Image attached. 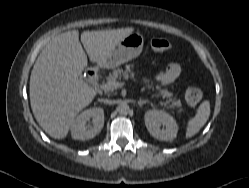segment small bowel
Returning <instances> with one entry per match:
<instances>
[{
  "mask_svg": "<svg viewBox=\"0 0 249 188\" xmlns=\"http://www.w3.org/2000/svg\"><path fill=\"white\" fill-rule=\"evenodd\" d=\"M181 73V66L178 63L168 64L156 77L157 81L162 85H168L174 82ZM146 86L150 85L148 79L144 80Z\"/></svg>",
  "mask_w": 249,
  "mask_h": 188,
  "instance_id": "1",
  "label": "small bowel"
}]
</instances>
